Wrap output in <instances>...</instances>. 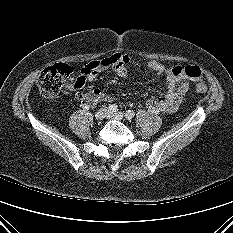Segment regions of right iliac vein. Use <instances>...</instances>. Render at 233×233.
I'll list each match as a JSON object with an SVG mask.
<instances>
[{
	"mask_svg": "<svg viewBox=\"0 0 233 233\" xmlns=\"http://www.w3.org/2000/svg\"><path fill=\"white\" fill-rule=\"evenodd\" d=\"M108 113L109 112L106 108H101L96 112L95 118L96 120L101 121L108 116Z\"/></svg>",
	"mask_w": 233,
	"mask_h": 233,
	"instance_id": "1",
	"label": "right iliac vein"
}]
</instances>
